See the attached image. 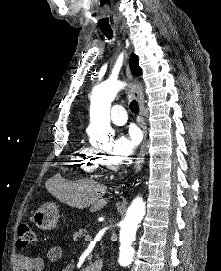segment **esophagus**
<instances>
[{"label":"esophagus","instance_id":"1","mask_svg":"<svg viewBox=\"0 0 221 271\" xmlns=\"http://www.w3.org/2000/svg\"><path fill=\"white\" fill-rule=\"evenodd\" d=\"M125 71H126V75L129 78V80L133 81V75L131 73V70H130L128 64H126ZM133 95H134V98L139 103V108H140L139 125L142 128L143 134H144V138H143V142H142V145H141V148H140V152H139V155H138V158L136 160L135 167H134L135 168V173H138L141 170L142 165H143V163L145 161L147 126H146V123H145V120H144V115H145L144 96H143L141 87L137 83H135V81H134Z\"/></svg>","mask_w":221,"mask_h":271}]
</instances>
